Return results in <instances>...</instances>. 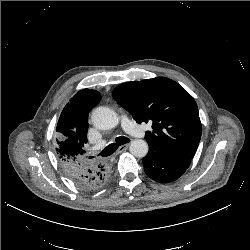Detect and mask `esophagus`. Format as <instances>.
<instances>
[{"mask_svg":"<svg viewBox=\"0 0 250 250\" xmlns=\"http://www.w3.org/2000/svg\"><path fill=\"white\" fill-rule=\"evenodd\" d=\"M128 146H129V144H125V145L120 146L117 150V154H120V153L124 152L125 150H127Z\"/></svg>","mask_w":250,"mask_h":250,"instance_id":"34e87169","label":"esophagus"}]
</instances>
